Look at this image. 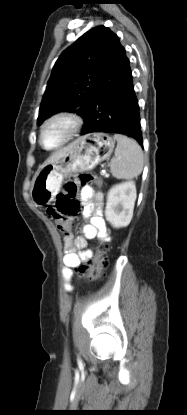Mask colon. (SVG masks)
Wrapping results in <instances>:
<instances>
[{"mask_svg": "<svg viewBox=\"0 0 187 415\" xmlns=\"http://www.w3.org/2000/svg\"><path fill=\"white\" fill-rule=\"evenodd\" d=\"M100 184L101 179L97 175L92 173L81 174L75 180L64 184L62 190L57 195L55 207L47 209V214L54 220L58 230L65 238L71 236V222L73 217L79 212L78 187L87 185L99 186ZM107 262V251L104 248H100L86 266L79 268V272L85 278L98 279L107 268Z\"/></svg>", "mask_w": 187, "mask_h": 415, "instance_id": "colon-1", "label": "colon"}]
</instances>
